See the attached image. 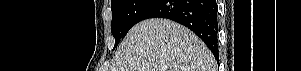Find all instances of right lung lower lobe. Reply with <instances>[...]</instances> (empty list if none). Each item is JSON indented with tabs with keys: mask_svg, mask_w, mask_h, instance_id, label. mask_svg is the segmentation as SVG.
Returning a JSON list of instances; mask_svg holds the SVG:
<instances>
[{
	"mask_svg": "<svg viewBox=\"0 0 301 71\" xmlns=\"http://www.w3.org/2000/svg\"><path fill=\"white\" fill-rule=\"evenodd\" d=\"M156 17L167 18L188 27L219 60L216 0H155L140 16V21Z\"/></svg>",
	"mask_w": 301,
	"mask_h": 71,
	"instance_id": "1",
	"label": "right lung lower lobe"
}]
</instances>
